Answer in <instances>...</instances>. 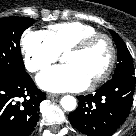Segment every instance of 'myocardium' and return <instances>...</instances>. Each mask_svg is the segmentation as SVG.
Masks as SVG:
<instances>
[{"mask_svg": "<svg viewBox=\"0 0 136 136\" xmlns=\"http://www.w3.org/2000/svg\"><path fill=\"white\" fill-rule=\"evenodd\" d=\"M99 39H104L107 41L110 49V58L103 72L90 81L89 84L91 86H96L105 81L110 76L115 67L117 59V49L112 37L109 36L108 34L98 32L96 34L82 38L80 41H78L76 44H74L70 49L66 51V55L81 53Z\"/></svg>", "mask_w": 136, "mask_h": 136, "instance_id": "f54148a6", "label": "myocardium"}]
</instances>
